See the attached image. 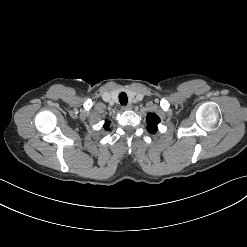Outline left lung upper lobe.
I'll return each mask as SVG.
<instances>
[{
  "label": "left lung upper lobe",
  "instance_id": "1",
  "mask_svg": "<svg viewBox=\"0 0 247 247\" xmlns=\"http://www.w3.org/2000/svg\"><path fill=\"white\" fill-rule=\"evenodd\" d=\"M160 122V118L155 114H149L147 116V130L154 134L157 131V125Z\"/></svg>",
  "mask_w": 247,
  "mask_h": 247
}]
</instances>
